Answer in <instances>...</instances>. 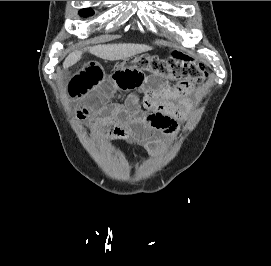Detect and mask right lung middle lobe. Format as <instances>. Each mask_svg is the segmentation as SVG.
Masks as SVG:
<instances>
[{
    "mask_svg": "<svg viewBox=\"0 0 271 266\" xmlns=\"http://www.w3.org/2000/svg\"><path fill=\"white\" fill-rule=\"evenodd\" d=\"M93 14H94V12H93V10L90 9V8H88V9H82V10L80 11V15H82V16H91V15H93Z\"/></svg>",
    "mask_w": 271,
    "mask_h": 266,
    "instance_id": "right-lung-middle-lobe-1",
    "label": "right lung middle lobe"
}]
</instances>
